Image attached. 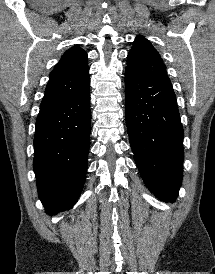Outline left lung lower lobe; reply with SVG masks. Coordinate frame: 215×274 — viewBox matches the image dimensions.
Returning a JSON list of instances; mask_svg holds the SVG:
<instances>
[{
  "label": "left lung lower lobe",
  "mask_w": 215,
  "mask_h": 274,
  "mask_svg": "<svg viewBox=\"0 0 215 274\" xmlns=\"http://www.w3.org/2000/svg\"><path fill=\"white\" fill-rule=\"evenodd\" d=\"M125 110L145 184L159 199L174 202L182 181L184 133L171 82L126 67Z\"/></svg>",
  "instance_id": "obj_1"
}]
</instances>
